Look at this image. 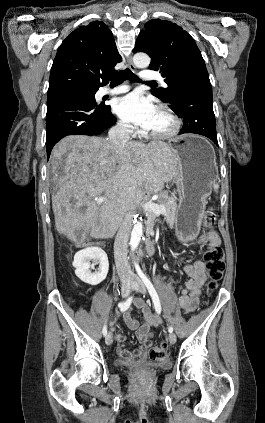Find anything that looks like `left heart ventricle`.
I'll return each mask as SVG.
<instances>
[{
    "label": "left heart ventricle",
    "instance_id": "left-heart-ventricle-1",
    "mask_svg": "<svg viewBox=\"0 0 265 423\" xmlns=\"http://www.w3.org/2000/svg\"><path fill=\"white\" fill-rule=\"evenodd\" d=\"M172 126L171 120L159 109L157 110L150 126L147 128L150 131H166Z\"/></svg>",
    "mask_w": 265,
    "mask_h": 423
}]
</instances>
